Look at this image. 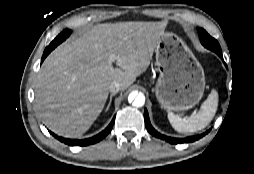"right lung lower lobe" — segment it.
Instances as JSON below:
<instances>
[{"label": "right lung lower lobe", "instance_id": "obj_1", "mask_svg": "<svg viewBox=\"0 0 254 174\" xmlns=\"http://www.w3.org/2000/svg\"><path fill=\"white\" fill-rule=\"evenodd\" d=\"M70 34L68 33H60L51 43L50 45L45 49L43 56H42V60L41 62H43V60L46 58V56L57 46L59 45L61 42H63ZM115 122V117L112 119L111 123L109 124V126L103 130L102 132H100L99 134H97L96 136H93L91 138H87L84 140H72V139H67V138H62L57 136L56 134L50 132L56 139L60 140L61 142H64L65 144L71 145V146H86V145H90V144H94L96 142H99L100 140H102L112 129L113 125Z\"/></svg>", "mask_w": 254, "mask_h": 174}]
</instances>
